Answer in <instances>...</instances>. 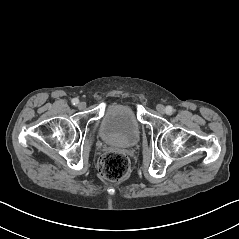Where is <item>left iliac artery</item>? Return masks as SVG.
I'll list each match as a JSON object with an SVG mask.
<instances>
[{
  "instance_id": "obj_1",
  "label": "left iliac artery",
  "mask_w": 239,
  "mask_h": 239,
  "mask_svg": "<svg viewBox=\"0 0 239 239\" xmlns=\"http://www.w3.org/2000/svg\"><path fill=\"white\" fill-rule=\"evenodd\" d=\"M173 108L171 106H167L166 109H165V112L168 114V115H171L173 113Z\"/></svg>"
}]
</instances>
